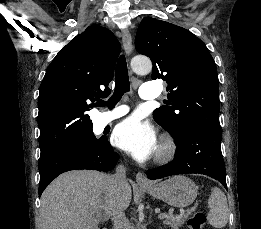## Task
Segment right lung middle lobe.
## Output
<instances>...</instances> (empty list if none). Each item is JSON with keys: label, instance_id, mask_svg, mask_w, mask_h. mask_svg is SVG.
Instances as JSON below:
<instances>
[{"label": "right lung middle lobe", "instance_id": "1", "mask_svg": "<svg viewBox=\"0 0 261 229\" xmlns=\"http://www.w3.org/2000/svg\"><path fill=\"white\" fill-rule=\"evenodd\" d=\"M105 140H106V137L97 139L94 136L93 132L90 131V132H87L85 134H82V135L72 139L71 141H69L63 145H60V146H57L54 148L41 149V156H46L61 148H92L97 145H100Z\"/></svg>", "mask_w": 261, "mask_h": 229}]
</instances>
